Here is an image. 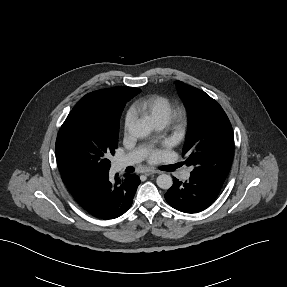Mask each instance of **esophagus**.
Listing matches in <instances>:
<instances>
[{
	"label": "esophagus",
	"instance_id": "esophagus-1",
	"mask_svg": "<svg viewBox=\"0 0 287 287\" xmlns=\"http://www.w3.org/2000/svg\"><path fill=\"white\" fill-rule=\"evenodd\" d=\"M160 173H161V171L153 170V169H148V170L144 171V174L147 176L152 175V174H160Z\"/></svg>",
	"mask_w": 287,
	"mask_h": 287
}]
</instances>
